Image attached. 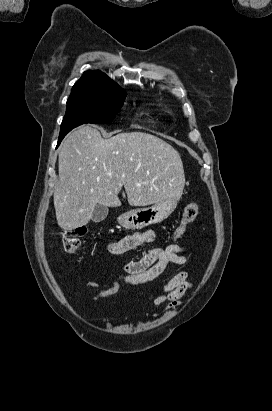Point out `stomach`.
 I'll return each mask as SVG.
<instances>
[{"label": "stomach", "mask_w": 272, "mask_h": 411, "mask_svg": "<svg viewBox=\"0 0 272 411\" xmlns=\"http://www.w3.org/2000/svg\"><path fill=\"white\" fill-rule=\"evenodd\" d=\"M180 196L169 197L151 207L130 210L117 218L118 223L126 229H142L160 223L174 211Z\"/></svg>", "instance_id": "1"}]
</instances>
